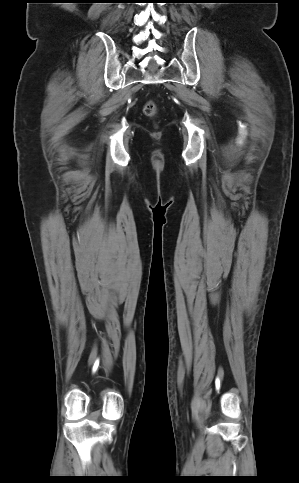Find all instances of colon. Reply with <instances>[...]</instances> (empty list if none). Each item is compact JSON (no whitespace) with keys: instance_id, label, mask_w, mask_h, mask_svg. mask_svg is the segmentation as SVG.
<instances>
[{"instance_id":"colon-1","label":"colon","mask_w":299,"mask_h":483,"mask_svg":"<svg viewBox=\"0 0 299 483\" xmlns=\"http://www.w3.org/2000/svg\"><path fill=\"white\" fill-rule=\"evenodd\" d=\"M157 112V106L153 101H148L144 107V113L147 116H154Z\"/></svg>"}]
</instances>
